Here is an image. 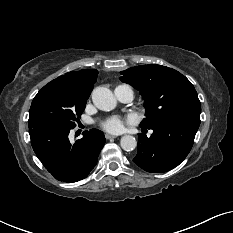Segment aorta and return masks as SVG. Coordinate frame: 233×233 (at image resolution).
<instances>
[{"mask_svg":"<svg viewBox=\"0 0 233 233\" xmlns=\"http://www.w3.org/2000/svg\"><path fill=\"white\" fill-rule=\"evenodd\" d=\"M93 104L102 111H111L116 107L117 101L112 91L106 87H97L92 92ZM120 145L125 151H132L137 146L135 137L125 135L120 140Z\"/></svg>","mask_w":233,"mask_h":233,"instance_id":"762f6f07","label":"aorta"}]
</instances>
